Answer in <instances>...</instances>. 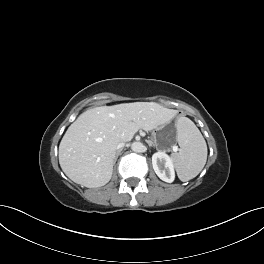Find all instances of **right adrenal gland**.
<instances>
[{"label":"right adrenal gland","mask_w":264,"mask_h":264,"mask_svg":"<svg viewBox=\"0 0 264 264\" xmlns=\"http://www.w3.org/2000/svg\"><path fill=\"white\" fill-rule=\"evenodd\" d=\"M120 152H121V150H118V151L116 152V156H115L114 163L117 161V159H118V156H119Z\"/></svg>","instance_id":"2a0ac1e0"}]
</instances>
